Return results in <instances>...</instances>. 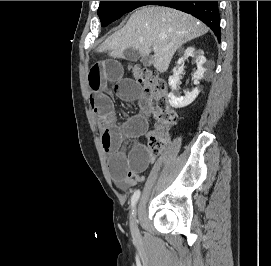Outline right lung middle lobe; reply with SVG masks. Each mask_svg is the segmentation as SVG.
<instances>
[{
    "instance_id": "dd1d6c3e",
    "label": "right lung middle lobe",
    "mask_w": 271,
    "mask_h": 266,
    "mask_svg": "<svg viewBox=\"0 0 271 266\" xmlns=\"http://www.w3.org/2000/svg\"><path fill=\"white\" fill-rule=\"evenodd\" d=\"M153 1H100L98 16L101 20V26H107L109 23L121 18L127 12L144 6L150 5Z\"/></svg>"
}]
</instances>
